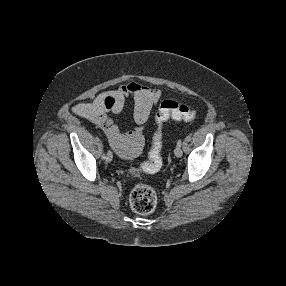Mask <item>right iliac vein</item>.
Masks as SVG:
<instances>
[{
	"mask_svg": "<svg viewBox=\"0 0 286 286\" xmlns=\"http://www.w3.org/2000/svg\"><path fill=\"white\" fill-rule=\"evenodd\" d=\"M112 158H113V155H112V152L111 151H108L107 154H106V161L107 162H111L112 161Z\"/></svg>",
	"mask_w": 286,
	"mask_h": 286,
	"instance_id": "obj_1",
	"label": "right iliac vein"
}]
</instances>
